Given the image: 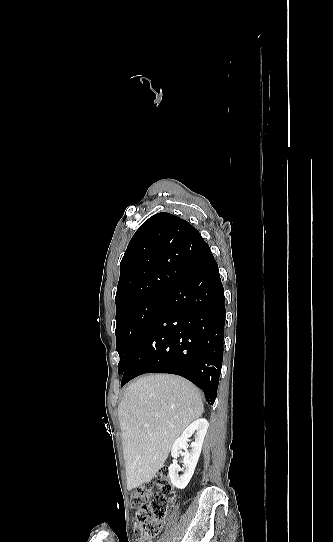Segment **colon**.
<instances>
[{
	"label": "colon",
	"instance_id": "obj_1",
	"mask_svg": "<svg viewBox=\"0 0 333 542\" xmlns=\"http://www.w3.org/2000/svg\"><path fill=\"white\" fill-rule=\"evenodd\" d=\"M153 487H157L159 493L155 494ZM171 495V476L167 467L160 468L154 480L146 482L133 493L131 506L137 514L130 519L132 526H135L129 531L131 540L140 541L143 538L155 537L159 533L168 512Z\"/></svg>",
	"mask_w": 333,
	"mask_h": 542
}]
</instances>
